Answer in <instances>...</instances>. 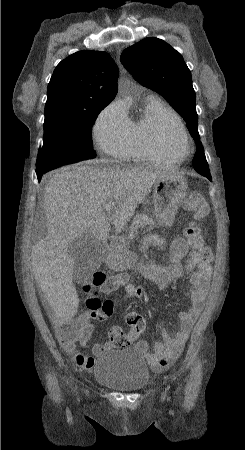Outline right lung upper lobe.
<instances>
[{
  "instance_id": "1",
  "label": "right lung upper lobe",
  "mask_w": 245,
  "mask_h": 450,
  "mask_svg": "<svg viewBox=\"0 0 245 450\" xmlns=\"http://www.w3.org/2000/svg\"><path fill=\"white\" fill-rule=\"evenodd\" d=\"M118 67L109 54L80 51L61 61L47 90L45 111H88L109 104L117 93Z\"/></svg>"
}]
</instances>
